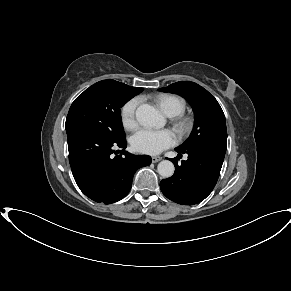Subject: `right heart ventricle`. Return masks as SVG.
Instances as JSON below:
<instances>
[{
    "mask_svg": "<svg viewBox=\"0 0 291 291\" xmlns=\"http://www.w3.org/2000/svg\"><path fill=\"white\" fill-rule=\"evenodd\" d=\"M155 103L169 117L181 115L186 108L185 100L175 94H159L155 97Z\"/></svg>",
    "mask_w": 291,
    "mask_h": 291,
    "instance_id": "obj_1",
    "label": "right heart ventricle"
}]
</instances>
